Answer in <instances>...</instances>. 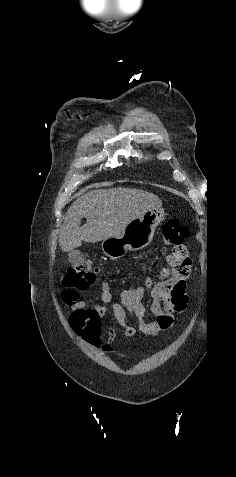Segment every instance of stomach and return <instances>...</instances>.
<instances>
[{
    "label": "stomach",
    "instance_id": "1",
    "mask_svg": "<svg viewBox=\"0 0 236 477\" xmlns=\"http://www.w3.org/2000/svg\"><path fill=\"white\" fill-rule=\"evenodd\" d=\"M164 219V210L156 208L132 220L118 236L103 240L102 251L111 259H119L128 251L141 250L151 244L156 227Z\"/></svg>",
    "mask_w": 236,
    "mask_h": 477
}]
</instances>
